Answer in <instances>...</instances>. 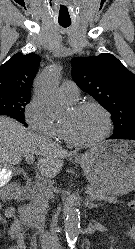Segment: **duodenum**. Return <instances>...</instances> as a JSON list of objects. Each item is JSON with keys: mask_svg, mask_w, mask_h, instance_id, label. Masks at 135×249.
<instances>
[{"mask_svg": "<svg viewBox=\"0 0 135 249\" xmlns=\"http://www.w3.org/2000/svg\"><path fill=\"white\" fill-rule=\"evenodd\" d=\"M34 196L33 190L30 187L22 186L18 188H7L3 191V197L7 200L22 199L29 200ZM42 242L39 241V244Z\"/></svg>", "mask_w": 135, "mask_h": 249, "instance_id": "1", "label": "duodenum"}]
</instances>
